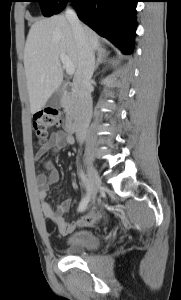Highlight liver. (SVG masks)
Masks as SVG:
<instances>
[{"instance_id":"1","label":"liver","mask_w":181,"mask_h":300,"mask_svg":"<svg viewBox=\"0 0 181 300\" xmlns=\"http://www.w3.org/2000/svg\"><path fill=\"white\" fill-rule=\"evenodd\" d=\"M83 29L91 48L105 51L99 36L87 26H83ZM61 54L72 61L76 74L79 65L78 49L66 17L55 15L35 22L29 30L24 49V68L32 114L43 108L63 81Z\"/></svg>"}]
</instances>
